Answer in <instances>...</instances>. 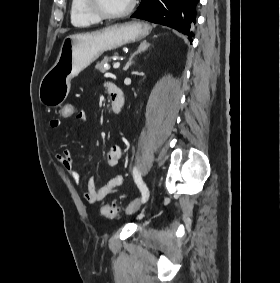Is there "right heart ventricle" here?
I'll use <instances>...</instances> for the list:
<instances>
[{"mask_svg": "<svg viewBox=\"0 0 280 283\" xmlns=\"http://www.w3.org/2000/svg\"><path fill=\"white\" fill-rule=\"evenodd\" d=\"M70 18L76 27H87L100 21L86 9L84 0H71Z\"/></svg>", "mask_w": 280, "mask_h": 283, "instance_id": "1", "label": "right heart ventricle"}]
</instances>
